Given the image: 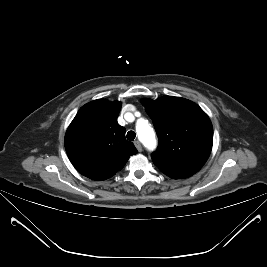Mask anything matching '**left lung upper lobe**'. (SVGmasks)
<instances>
[{
    "instance_id": "obj_1",
    "label": "left lung upper lobe",
    "mask_w": 267,
    "mask_h": 267,
    "mask_svg": "<svg viewBox=\"0 0 267 267\" xmlns=\"http://www.w3.org/2000/svg\"><path fill=\"white\" fill-rule=\"evenodd\" d=\"M142 104L153 121L159 145L151 157L171 178H187L207 161L213 144V127L207 114L194 102L173 96Z\"/></svg>"
}]
</instances>
